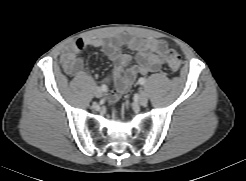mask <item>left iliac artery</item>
<instances>
[{
    "label": "left iliac artery",
    "mask_w": 246,
    "mask_h": 181,
    "mask_svg": "<svg viewBox=\"0 0 246 181\" xmlns=\"http://www.w3.org/2000/svg\"><path fill=\"white\" fill-rule=\"evenodd\" d=\"M138 83H139L140 85H145L146 79L143 78V77H141V78H139Z\"/></svg>",
    "instance_id": "left-iliac-artery-1"
}]
</instances>
